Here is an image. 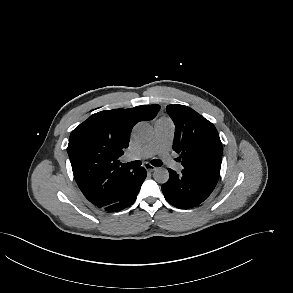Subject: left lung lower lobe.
Wrapping results in <instances>:
<instances>
[{
  "mask_svg": "<svg viewBox=\"0 0 293 293\" xmlns=\"http://www.w3.org/2000/svg\"><path fill=\"white\" fill-rule=\"evenodd\" d=\"M169 180L162 185L165 199L173 206L188 209L202 203L215 188L218 179L183 169L180 174L168 169Z\"/></svg>",
  "mask_w": 293,
  "mask_h": 293,
  "instance_id": "left-lung-lower-lobe-1",
  "label": "left lung lower lobe"
}]
</instances>
